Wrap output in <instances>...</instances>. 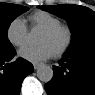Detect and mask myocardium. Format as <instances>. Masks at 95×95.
Instances as JSON below:
<instances>
[{
	"mask_svg": "<svg viewBox=\"0 0 95 95\" xmlns=\"http://www.w3.org/2000/svg\"><path fill=\"white\" fill-rule=\"evenodd\" d=\"M59 32L65 33L66 40H65L64 45L59 50H57L53 53L54 57H61L70 49V47L73 43L72 29L67 25L60 24V25L43 30V33H45L46 35H49V36H54Z\"/></svg>",
	"mask_w": 95,
	"mask_h": 95,
	"instance_id": "f54148a6",
	"label": "myocardium"
}]
</instances>
